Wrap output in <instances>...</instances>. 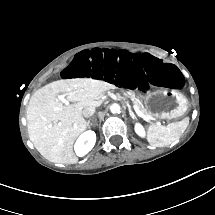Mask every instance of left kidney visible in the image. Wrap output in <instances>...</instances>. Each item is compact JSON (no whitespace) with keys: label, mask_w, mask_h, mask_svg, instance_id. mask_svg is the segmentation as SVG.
I'll return each instance as SVG.
<instances>
[{"label":"left kidney","mask_w":215,"mask_h":215,"mask_svg":"<svg viewBox=\"0 0 215 215\" xmlns=\"http://www.w3.org/2000/svg\"><path fill=\"white\" fill-rule=\"evenodd\" d=\"M135 132L140 136L144 137L145 136V130L143 126L140 123L135 124Z\"/></svg>","instance_id":"5707ae66"}]
</instances>
